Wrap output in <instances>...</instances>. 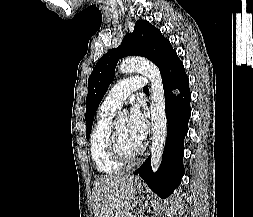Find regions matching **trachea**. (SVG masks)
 Returning <instances> with one entry per match:
<instances>
[{
  "mask_svg": "<svg viewBox=\"0 0 253 217\" xmlns=\"http://www.w3.org/2000/svg\"><path fill=\"white\" fill-rule=\"evenodd\" d=\"M143 90L144 91H149V89L147 87H144Z\"/></svg>",
  "mask_w": 253,
  "mask_h": 217,
  "instance_id": "1",
  "label": "trachea"
}]
</instances>
